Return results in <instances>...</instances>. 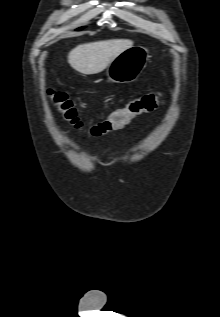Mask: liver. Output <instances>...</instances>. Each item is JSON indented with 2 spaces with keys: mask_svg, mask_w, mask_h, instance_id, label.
I'll return each mask as SVG.
<instances>
[{
  "mask_svg": "<svg viewBox=\"0 0 220 317\" xmlns=\"http://www.w3.org/2000/svg\"><path fill=\"white\" fill-rule=\"evenodd\" d=\"M133 46L129 39H112L78 45L68 54L76 71L91 75L103 71L120 53Z\"/></svg>",
  "mask_w": 220,
  "mask_h": 317,
  "instance_id": "obj_1",
  "label": "liver"
}]
</instances>
